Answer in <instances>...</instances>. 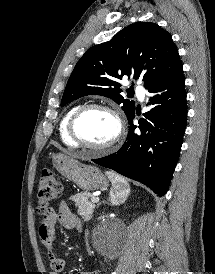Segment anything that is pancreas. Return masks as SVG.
I'll list each match as a JSON object with an SVG mask.
<instances>
[{
    "label": "pancreas",
    "instance_id": "1",
    "mask_svg": "<svg viewBox=\"0 0 215 274\" xmlns=\"http://www.w3.org/2000/svg\"><path fill=\"white\" fill-rule=\"evenodd\" d=\"M92 196L88 192H81L70 197L78 207L79 214L85 219L90 220L95 208V204L90 201Z\"/></svg>",
    "mask_w": 215,
    "mask_h": 274
}]
</instances>
